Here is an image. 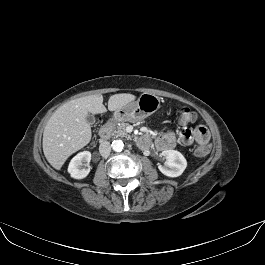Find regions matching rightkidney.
<instances>
[{"label":"right kidney","instance_id":"1","mask_svg":"<svg viewBox=\"0 0 265 265\" xmlns=\"http://www.w3.org/2000/svg\"><path fill=\"white\" fill-rule=\"evenodd\" d=\"M91 161V153L83 151L78 153L69 163L68 173L72 178L83 179L88 176L90 172L89 163Z\"/></svg>","mask_w":265,"mask_h":265}]
</instances>
